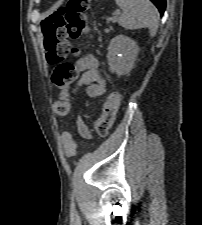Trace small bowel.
I'll return each mask as SVG.
<instances>
[{"mask_svg":"<svg viewBox=\"0 0 202 225\" xmlns=\"http://www.w3.org/2000/svg\"><path fill=\"white\" fill-rule=\"evenodd\" d=\"M76 68L80 76L75 83L74 92L85 86L90 96L101 95L104 90V81L99 72L97 59L92 55L85 56L78 61ZM76 129L80 136L85 138L89 136V129L84 120L78 119L76 121ZM67 136L69 134L64 133L62 138Z\"/></svg>","mask_w":202,"mask_h":225,"instance_id":"1","label":"small bowel"}]
</instances>
